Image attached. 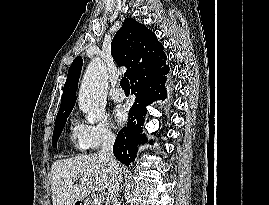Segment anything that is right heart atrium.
Instances as JSON below:
<instances>
[{
    "label": "right heart atrium",
    "instance_id": "right-heart-atrium-1",
    "mask_svg": "<svg viewBox=\"0 0 269 205\" xmlns=\"http://www.w3.org/2000/svg\"><path fill=\"white\" fill-rule=\"evenodd\" d=\"M73 134L78 146L84 150H95L115 140V134L105 118L95 124L77 120L73 126Z\"/></svg>",
    "mask_w": 269,
    "mask_h": 205
}]
</instances>
